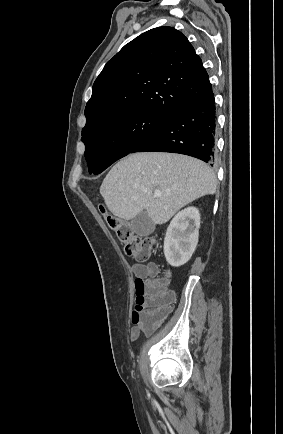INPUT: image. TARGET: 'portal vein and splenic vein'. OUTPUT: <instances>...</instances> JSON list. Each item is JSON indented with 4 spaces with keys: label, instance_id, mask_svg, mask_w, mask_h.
<instances>
[{
    "label": "portal vein and splenic vein",
    "instance_id": "obj_1",
    "mask_svg": "<svg viewBox=\"0 0 283 434\" xmlns=\"http://www.w3.org/2000/svg\"><path fill=\"white\" fill-rule=\"evenodd\" d=\"M161 196V191L160 190H155L154 191V197L155 198H158V197H160Z\"/></svg>",
    "mask_w": 283,
    "mask_h": 434
}]
</instances>
